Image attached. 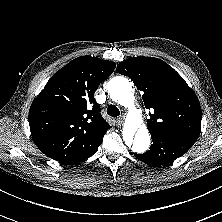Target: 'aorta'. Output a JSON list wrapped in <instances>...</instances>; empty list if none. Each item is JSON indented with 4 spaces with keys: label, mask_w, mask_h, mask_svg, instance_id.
I'll return each instance as SVG.
<instances>
[{
    "label": "aorta",
    "mask_w": 222,
    "mask_h": 222,
    "mask_svg": "<svg viewBox=\"0 0 222 222\" xmlns=\"http://www.w3.org/2000/svg\"><path fill=\"white\" fill-rule=\"evenodd\" d=\"M108 93L112 100L130 109L123 129V139L126 145L131 147L133 152L144 153L150 146V134L135 109L131 83L125 77H114L108 83Z\"/></svg>",
    "instance_id": "aorta-1"
}]
</instances>
